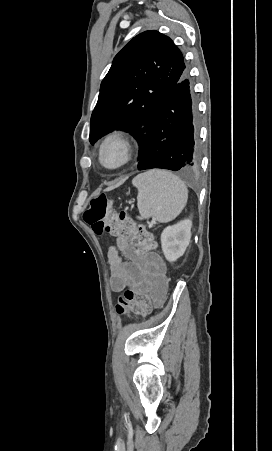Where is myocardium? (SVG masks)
I'll return each instance as SVG.
<instances>
[{
    "mask_svg": "<svg viewBox=\"0 0 272 451\" xmlns=\"http://www.w3.org/2000/svg\"><path fill=\"white\" fill-rule=\"evenodd\" d=\"M108 148L118 149L122 155V162L116 167H108L103 162V154ZM131 160V148L126 139L120 136L118 133L109 134L100 144L97 156V162L100 166L108 168L113 171H118L125 167Z\"/></svg>",
    "mask_w": 272,
    "mask_h": 451,
    "instance_id": "myocardium-1",
    "label": "myocardium"
}]
</instances>
